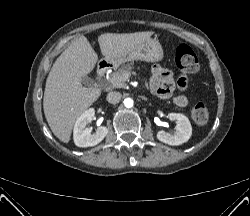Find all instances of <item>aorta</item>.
Here are the masks:
<instances>
[{
	"mask_svg": "<svg viewBox=\"0 0 250 216\" xmlns=\"http://www.w3.org/2000/svg\"><path fill=\"white\" fill-rule=\"evenodd\" d=\"M124 105L126 108H131L133 106V100L131 98H126L124 100Z\"/></svg>",
	"mask_w": 250,
	"mask_h": 216,
	"instance_id": "762f6f07",
	"label": "aorta"
}]
</instances>
